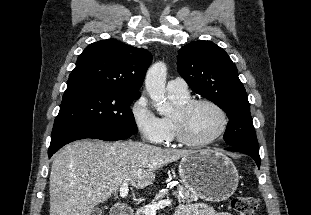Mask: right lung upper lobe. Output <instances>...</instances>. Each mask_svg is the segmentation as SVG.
I'll use <instances>...</instances> for the list:
<instances>
[{"label":"right lung upper lobe","instance_id":"1","mask_svg":"<svg viewBox=\"0 0 311 215\" xmlns=\"http://www.w3.org/2000/svg\"><path fill=\"white\" fill-rule=\"evenodd\" d=\"M151 62V53L143 48H135L116 39L95 42L78 57L67 85H92L139 93Z\"/></svg>","mask_w":311,"mask_h":215}]
</instances>
